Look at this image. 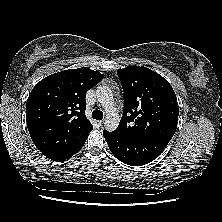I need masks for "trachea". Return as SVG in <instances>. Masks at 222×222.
Instances as JSON below:
<instances>
[{"mask_svg":"<svg viewBox=\"0 0 222 222\" xmlns=\"http://www.w3.org/2000/svg\"><path fill=\"white\" fill-rule=\"evenodd\" d=\"M92 117H93V119H96V120H102L103 119V112L100 110H94L92 112Z\"/></svg>","mask_w":222,"mask_h":222,"instance_id":"trachea-1","label":"trachea"}]
</instances>
